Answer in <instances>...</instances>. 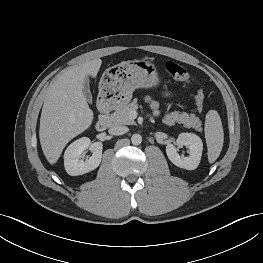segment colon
I'll list each match as a JSON object with an SVG mask.
<instances>
[{"label":"colon","mask_w":263,"mask_h":263,"mask_svg":"<svg viewBox=\"0 0 263 263\" xmlns=\"http://www.w3.org/2000/svg\"><path fill=\"white\" fill-rule=\"evenodd\" d=\"M166 71L177 81L184 82L189 85L195 86V81L193 76L181 65L173 61H168L165 64ZM195 99L199 109H202L205 102V95L200 87L195 89Z\"/></svg>","instance_id":"colon-1"}]
</instances>
